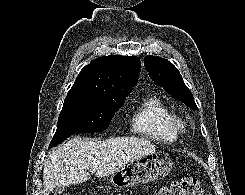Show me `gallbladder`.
Returning a JSON list of instances; mask_svg holds the SVG:
<instances>
[{"label": "gallbladder", "instance_id": "bac80fb5", "mask_svg": "<svg viewBox=\"0 0 245 195\" xmlns=\"http://www.w3.org/2000/svg\"><path fill=\"white\" fill-rule=\"evenodd\" d=\"M65 191V187L64 186H57L52 190V193L54 195H61L63 192Z\"/></svg>", "mask_w": 245, "mask_h": 195}]
</instances>
